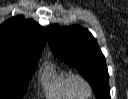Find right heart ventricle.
<instances>
[{
	"label": "right heart ventricle",
	"instance_id": "e07e8e85",
	"mask_svg": "<svg viewBox=\"0 0 128 99\" xmlns=\"http://www.w3.org/2000/svg\"><path fill=\"white\" fill-rule=\"evenodd\" d=\"M70 76V73L58 69L55 65H49L43 79L46 96L51 99L77 98L70 88Z\"/></svg>",
	"mask_w": 128,
	"mask_h": 99
}]
</instances>
